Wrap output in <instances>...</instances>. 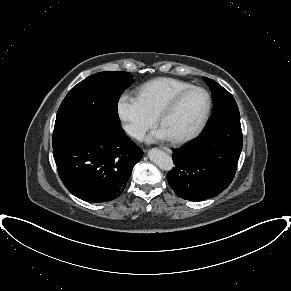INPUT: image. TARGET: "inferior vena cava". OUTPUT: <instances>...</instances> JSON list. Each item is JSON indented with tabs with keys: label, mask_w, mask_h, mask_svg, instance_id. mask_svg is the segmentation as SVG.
<instances>
[{
	"label": "inferior vena cava",
	"mask_w": 291,
	"mask_h": 291,
	"mask_svg": "<svg viewBox=\"0 0 291 291\" xmlns=\"http://www.w3.org/2000/svg\"><path fill=\"white\" fill-rule=\"evenodd\" d=\"M127 132L131 137H134L138 140H142L145 135V131L137 126L134 125H128L127 126Z\"/></svg>",
	"instance_id": "inferior-vena-cava-1"
}]
</instances>
